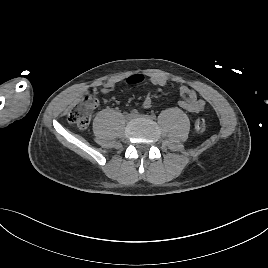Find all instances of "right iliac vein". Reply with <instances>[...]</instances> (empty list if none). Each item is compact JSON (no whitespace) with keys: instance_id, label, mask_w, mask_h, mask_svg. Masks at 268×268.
Listing matches in <instances>:
<instances>
[{"instance_id":"right-iliac-vein-1","label":"right iliac vein","mask_w":268,"mask_h":268,"mask_svg":"<svg viewBox=\"0 0 268 268\" xmlns=\"http://www.w3.org/2000/svg\"><path fill=\"white\" fill-rule=\"evenodd\" d=\"M135 116L132 115L131 113L130 114H126L125 118L127 121H131Z\"/></svg>"}]
</instances>
